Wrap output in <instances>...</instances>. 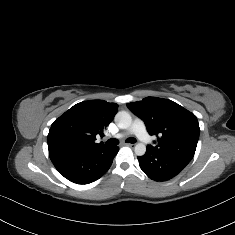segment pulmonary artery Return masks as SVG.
Segmentation results:
<instances>
[{
	"label": "pulmonary artery",
	"instance_id": "pulmonary-artery-1",
	"mask_svg": "<svg viewBox=\"0 0 235 235\" xmlns=\"http://www.w3.org/2000/svg\"><path fill=\"white\" fill-rule=\"evenodd\" d=\"M127 134H134L138 136L139 140L143 143H146L150 140L151 135L148 131H146L145 125L141 120H134L131 127L129 128L126 134H117L115 137L121 138Z\"/></svg>",
	"mask_w": 235,
	"mask_h": 235
}]
</instances>
